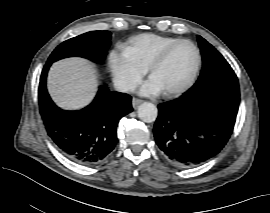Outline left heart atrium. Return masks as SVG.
<instances>
[{
  "label": "left heart atrium",
  "instance_id": "left-heart-atrium-1",
  "mask_svg": "<svg viewBox=\"0 0 270 213\" xmlns=\"http://www.w3.org/2000/svg\"><path fill=\"white\" fill-rule=\"evenodd\" d=\"M142 93L148 96L157 95L161 92L160 87L151 79L149 82H147L143 88Z\"/></svg>",
  "mask_w": 270,
  "mask_h": 213
}]
</instances>
